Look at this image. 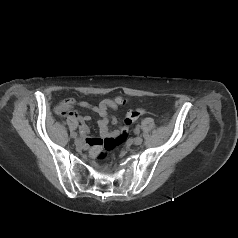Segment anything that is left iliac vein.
<instances>
[{"mask_svg":"<svg viewBox=\"0 0 238 238\" xmlns=\"http://www.w3.org/2000/svg\"><path fill=\"white\" fill-rule=\"evenodd\" d=\"M142 142H143V139H142V137H140V136L134 138V140H133V143H134L135 145H140V144H142Z\"/></svg>","mask_w":238,"mask_h":238,"instance_id":"obj_1","label":"left iliac vein"}]
</instances>
